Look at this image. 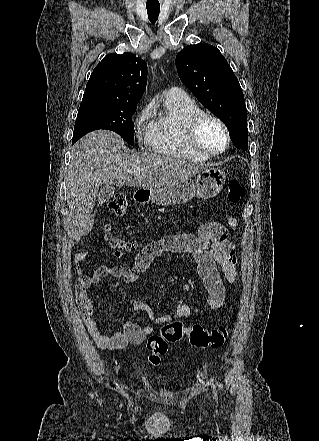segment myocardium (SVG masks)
Returning <instances> with one entry per match:
<instances>
[{"instance_id":"f54148a6","label":"myocardium","mask_w":319,"mask_h":441,"mask_svg":"<svg viewBox=\"0 0 319 441\" xmlns=\"http://www.w3.org/2000/svg\"><path fill=\"white\" fill-rule=\"evenodd\" d=\"M212 121L216 123L220 129L222 130L224 136H225V144L223 148L217 151L209 150L205 147H203L199 141V133L203 125L208 122ZM186 141L188 146L195 151L198 154H201L206 157H214L221 155L224 153L231 143L230 133L226 126V124L217 116L201 111L197 114H195L188 122L187 128H186Z\"/></svg>"}]
</instances>
